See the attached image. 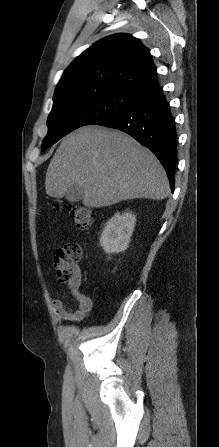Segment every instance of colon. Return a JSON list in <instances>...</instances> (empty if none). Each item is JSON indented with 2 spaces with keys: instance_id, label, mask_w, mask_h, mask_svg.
Listing matches in <instances>:
<instances>
[{
  "instance_id": "1",
  "label": "colon",
  "mask_w": 219,
  "mask_h": 447,
  "mask_svg": "<svg viewBox=\"0 0 219 447\" xmlns=\"http://www.w3.org/2000/svg\"><path fill=\"white\" fill-rule=\"evenodd\" d=\"M69 214L75 227L80 230H87L94 220L93 211L84 206L70 207ZM82 253L79 243L69 242L55 252L51 261L57 279L74 289H78L80 284V270L77 263Z\"/></svg>"
}]
</instances>
